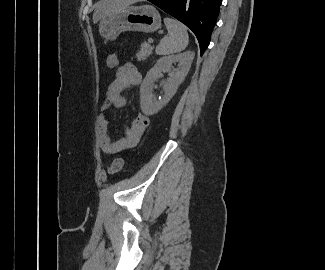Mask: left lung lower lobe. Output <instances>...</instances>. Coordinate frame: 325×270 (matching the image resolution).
<instances>
[{"label": "left lung lower lobe", "instance_id": "1", "mask_svg": "<svg viewBox=\"0 0 325 270\" xmlns=\"http://www.w3.org/2000/svg\"><path fill=\"white\" fill-rule=\"evenodd\" d=\"M189 27L196 35L200 54L210 43L222 0H148Z\"/></svg>", "mask_w": 325, "mask_h": 270}]
</instances>
